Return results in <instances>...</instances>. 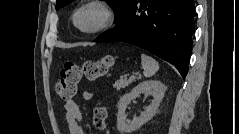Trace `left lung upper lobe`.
Returning <instances> with one entry per match:
<instances>
[{"instance_id": "left-lung-upper-lobe-1", "label": "left lung upper lobe", "mask_w": 239, "mask_h": 134, "mask_svg": "<svg viewBox=\"0 0 239 134\" xmlns=\"http://www.w3.org/2000/svg\"><path fill=\"white\" fill-rule=\"evenodd\" d=\"M73 0H57L56 10H59L63 6L69 4ZM132 0H107V3L115 12V22L118 23L128 8Z\"/></svg>"}]
</instances>
